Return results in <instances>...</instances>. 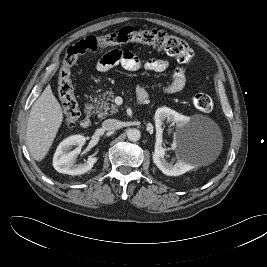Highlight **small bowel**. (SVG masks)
<instances>
[{
    "instance_id": "small-bowel-1",
    "label": "small bowel",
    "mask_w": 267,
    "mask_h": 267,
    "mask_svg": "<svg viewBox=\"0 0 267 267\" xmlns=\"http://www.w3.org/2000/svg\"><path fill=\"white\" fill-rule=\"evenodd\" d=\"M120 66L129 71L146 70L151 72H164L170 63L164 59L151 58L146 61L140 60L135 54L128 50L113 49L105 53L96 63L98 72H107ZM186 85V71L183 67H176L170 77L169 84L162 87L166 94H174L184 89ZM137 96L146 95L147 92L141 85L136 88Z\"/></svg>"
}]
</instances>
